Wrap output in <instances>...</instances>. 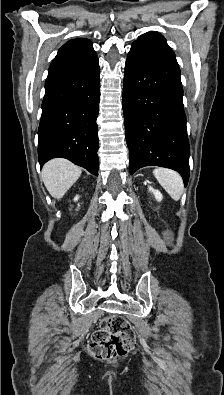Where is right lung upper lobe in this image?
I'll list each match as a JSON object with an SVG mask.
<instances>
[{
	"label": "right lung upper lobe",
	"instance_id": "right-lung-upper-lobe-1",
	"mask_svg": "<svg viewBox=\"0 0 224 395\" xmlns=\"http://www.w3.org/2000/svg\"><path fill=\"white\" fill-rule=\"evenodd\" d=\"M76 41L79 42V44L81 46H83L84 48H88V49H92V44L89 40L87 39H76Z\"/></svg>",
	"mask_w": 224,
	"mask_h": 395
}]
</instances>
